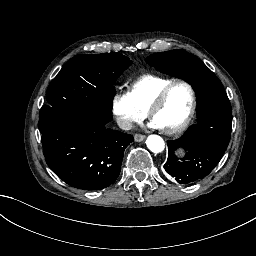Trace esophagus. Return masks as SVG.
<instances>
[{"label": "esophagus", "instance_id": "esophagus-1", "mask_svg": "<svg viewBox=\"0 0 256 256\" xmlns=\"http://www.w3.org/2000/svg\"><path fill=\"white\" fill-rule=\"evenodd\" d=\"M145 139V135H142V134H135L134 135V140L136 141V142H141V141H143Z\"/></svg>", "mask_w": 256, "mask_h": 256}]
</instances>
